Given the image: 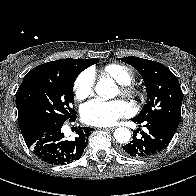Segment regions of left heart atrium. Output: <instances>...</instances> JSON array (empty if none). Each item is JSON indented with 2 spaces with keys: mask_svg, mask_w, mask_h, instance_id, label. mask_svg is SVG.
<instances>
[{
  "mask_svg": "<svg viewBox=\"0 0 196 196\" xmlns=\"http://www.w3.org/2000/svg\"><path fill=\"white\" fill-rule=\"evenodd\" d=\"M131 107L122 100L103 101L94 99L81 108L82 120L93 126H109L119 118L129 115Z\"/></svg>",
  "mask_w": 196,
  "mask_h": 196,
  "instance_id": "left-heart-atrium-1",
  "label": "left heart atrium"
}]
</instances>
